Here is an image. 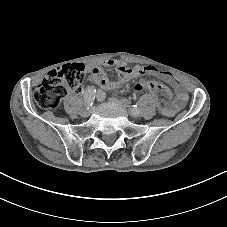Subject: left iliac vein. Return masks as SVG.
<instances>
[{"label": "left iliac vein", "instance_id": "left-iliac-vein-1", "mask_svg": "<svg viewBox=\"0 0 227 227\" xmlns=\"http://www.w3.org/2000/svg\"><path fill=\"white\" fill-rule=\"evenodd\" d=\"M110 101L112 103H117L122 109H124L125 111H127L126 105L122 101H119V100L114 99V98H111ZM134 116H137V115H134Z\"/></svg>", "mask_w": 227, "mask_h": 227}]
</instances>
